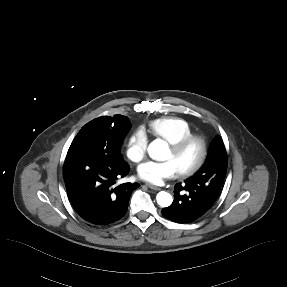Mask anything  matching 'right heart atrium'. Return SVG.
Returning <instances> with one entry per match:
<instances>
[{
  "instance_id": "obj_1",
  "label": "right heart atrium",
  "mask_w": 287,
  "mask_h": 287,
  "mask_svg": "<svg viewBox=\"0 0 287 287\" xmlns=\"http://www.w3.org/2000/svg\"><path fill=\"white\" fill-rule=\"evenodd\" d=\"M147 144V138L143 130L136 129L127 140L126 156L133 162H140L146 156Z\"/></svg>"
}]
</instances>
